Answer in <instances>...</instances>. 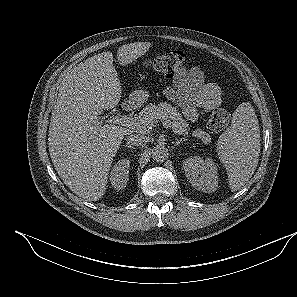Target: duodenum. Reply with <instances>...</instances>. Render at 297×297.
<instances>
[{
	"instance_id": "obj_1",
	"label": "duodenum",
	"mask_w": 297,
	"mask_h": 297,
	"mask_svg": "<svg viewBox=\"0 0 297 297\" xmlns=\"http://www.w3.org/2000/svg\"><path fill=\"white\" fill-rule=\"evenodd\" d=\"M135 107V102L134 101H126L122 104V111L124 112H130L134 109Z\"/></svg>"
}]
</instances>
